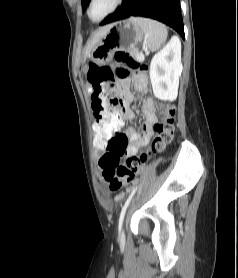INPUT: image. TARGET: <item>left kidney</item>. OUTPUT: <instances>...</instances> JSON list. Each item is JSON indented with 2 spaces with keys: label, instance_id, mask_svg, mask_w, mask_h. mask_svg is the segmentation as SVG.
<instances>
[{
  "label": "left kidney",
  "instance_id": "left-kidney-1",
  "mask_svg": "<svg viewBox=\"0 0 238 278\" xmlns=\"http://www.w3.org/2000/svg\"><path fill=\"white\" fill-rule=\"evenodd\" d=\"M180 74L181 43L177 37H172L151 60L150 80L155 97L174 101L178 94Z\"/></svg>",
  "mask_w": 238,
  "mask_h": 278
}]
</instances>
